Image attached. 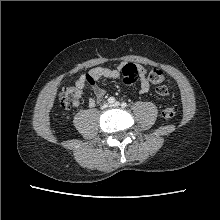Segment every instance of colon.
Here are the masks:
<instances>
[{"instance_id":"5ec220e1","label":"colon","mask_w":220,"mask_h":220,"mask_svg":"<svg viewBox=\"0 0 220 220\" xmlns=\"http://www.w3.org/2000/svg\"><path fill=\"white\" fill-rule=\"evenodd\" d=\"M122 80L127 85H133L140 77L146 78L150 83L157 86V93L161 96L169 94L168 81L162 71L156 68H140L134 64H126L122 70ZM81 96L79 87H67L60 93L59 100L61 107L66 111L74 105ZM176 114V108L166 107L161 113L164 121L172 119Z\"/></svg>"}]
</instances>
